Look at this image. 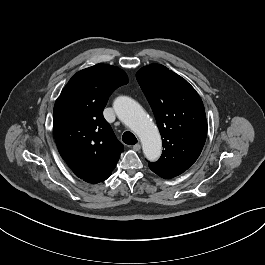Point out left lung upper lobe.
Masks as SVG:
<instances>
[{
    "mask_svg": "<svg viewBox=\"0 0 265 265\" xmlns=\"http://www.w3.org/2000/svg\"><path fill=\"white\" fill-rule=\"evenodd\" d=\"M136 78L163 138V152L150 169L164 179L182 174L199 157L207 136L205 109L195 89L159 64L141 68Z\"/></svg>",
    "mask_w": 265,
    "mask_h": 265,
    "instance_id": "5c2ea615",
    "label": "left lung upper lobe"
}]
</instances>
